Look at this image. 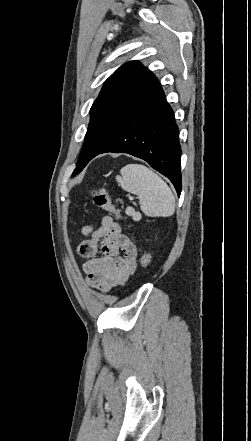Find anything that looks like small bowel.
<instances>
[{
    "label": "small bowel",
    "mask_w": 251,
    "mask_h": 441,
    "mask_svg": "<svg viewBox=\"0 0 251 441\" xmlns=\"http://www.w3.org/2000/svg\"><path fill=\"white\" fill-rule=\"evenodd\" d=\"M81 233L89 236L78 246L79 255L86 259L82 269L87 284L102 292L125 285L136 267L137 248L120 224L104 216L97 229L85 226Z\"/></svg>",
    "instance_id": "obj_1"
}]
</instances>
